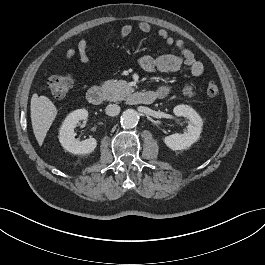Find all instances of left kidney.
<instances>
[{"label": "left kidney", "mask_w": 265, "mask_h": 265, "mask_svg": "<svg viewBox=\"0 0 265 265\" xmlns=\"http://www.w3.org/2000/svg\"><path fill=\"white\" fill-rule=\"evenodd\" d=\"M175 116H182L189 120L187 131L183 134H173L164 138V143L172 150H183L189 148L199 140L202 131V119L199 114L188 105H178L174 107Z\"/></svg>", "instance_id": "left-kidney-1"}]
</instances>
